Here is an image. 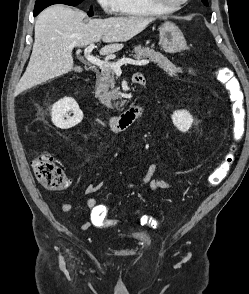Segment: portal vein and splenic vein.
Returning a JSON list of instances; mask_svg holds the SVG:
<instances>
[{
    "instance_id": "1",
    "label": "portal vein and splenic vein",
    "mask_w": 249,
    "mask_h": 294,
    "mask_svg": "<svg viewBox=\"0 0 249 294\" xmlns=\"http://www.w3.org/2000/svg\"><path fill=\"white\" fill-rule=\"evenodd\" d=\"M95 48V44L91 43L90 45H88V47H86L85 49V58L88 62L92 63L93 65L99 66V67H110L114 70L115 73H119L121 74V66L124 64H132V65H138V66H142V65H147L149 63V60H133V59H121L116 63H109V62H105L100 60L97 57H94L93 55H91V51Z\"/></svg>"
}]
</instances>
